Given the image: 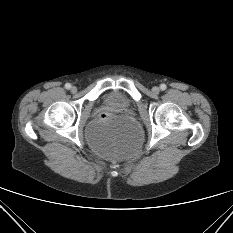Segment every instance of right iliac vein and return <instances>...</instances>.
I'll use <instances>...</instances> for the list:
<instances>
[{
  "label": "right iliac vein",
  "mask_w": 233,
  "mask_h": 233,
  "mask_svg": "<svg viewBox=\"0 0 233 233\" xmlns=\"http://www.w3.org/2000/svg\"><path fill=\"white\" fill-rule=\"evenodd\" d=\"M71 92H72V93H76V92H77V88H76L75 86H72V87H71Z\"/></svg>",
  "instance_id": "right-iliac-vein-1"
}]
</instances>
